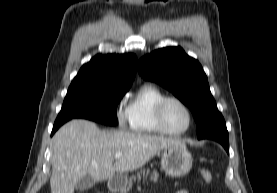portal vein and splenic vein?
I'll list each match as a JSON object with an SVG mask.
<instances>
[{"label": "portal vein and splenic vein", "mask_w": 277, "mask_h": 193, "mask_svg": "<svg viewBox=\"0 0 277 193\" xmlns=\"http://www.w3.org/2000/svg\"><path fill=\"white\" fill-rule=\"evenodd\" d=\"M121 156H122V153H115V155H114V157H115L116 159L121 158Z\"/></svg>", "instance_id": "obj_1"}]
</instances>
